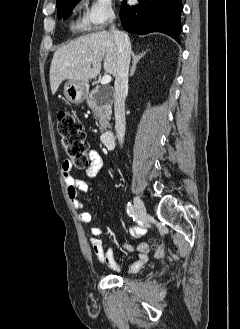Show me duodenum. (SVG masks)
<instances>
[{
	"label": "duodenum",
	"mask_w": 240,
	"mask_h": 329,
	"mask_svg": "<svg viewBox=\"0 0 240 329\" xmlns=\"http://www.w3.org/2000/svg\"><path fill=\"white\" fill-rule=\"evenodd\" d=\"M114 137L115 133L113 130H107L101 135V142L107 149H112L114 147Z\"/></svg>",
	"instance_id": "obj_1"
}]
</instances>
